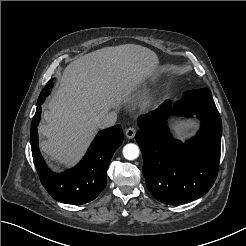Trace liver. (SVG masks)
I'll list each match as a JSON object with an SVG mask.
<instances>
[{
    "label": "liver",
    "mask_w": 246,
    "mask_h": 246,
    "mask_svg": "<svg viewBox=\"0 0 246 246\" xmlns=\"http://www.w3.org/2000/svg\"><path fill=\"white\" fill-rule=\"evenodd\" d=\"M158 65L154 51L135 44L105 47L71 62L43 113L41 151L58 166L76 165L100 129L98 120L128 102Z\"/></svg>",
    "instance_id": "liver-1"
}]
</instances>
